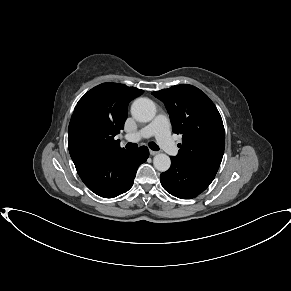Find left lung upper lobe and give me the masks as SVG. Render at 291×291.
Wrapping results in <instances>:
<instances>
[{"label":"left lung upper lobe","mask_w":291,"mask_h":291,"mask_svg":"<svg viewBox=\"0 0 291 291\" xmlns=\"http://www.w3.org/2000/svg\"><path fill=\"white\" fill-rule=\"evenodd\" d=\"M152 94L165 104L173 132L182 134V145L173 157L197 172L215 176L224 154L225 131L214 103L188 84Z\"/></svg>","instance_id":"left-lung-upper-lobe-1"}]
</instances>
